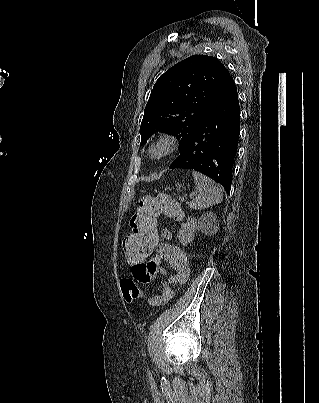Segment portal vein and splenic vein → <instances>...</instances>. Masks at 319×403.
Wrapping results in <instances>:
<instances>
[{"label": "portal vein and splenic vein", "mask_w": 319, "mask_h": 403, "mask_svg": "<svg viewBox=\"0 0 319 403\" xmlns=\"http://www.w3.org/2000/svg\"><path fill=\"white\" fill-rule=\"evenodd\" d=\"M184 197H187V195H185ZM184 197L180 198V200L184 201ZM191 197H193V195H191Z\"/></svg>", "instance_id": "portal-vein-and-splenic-vein-1"}]
</instances>
